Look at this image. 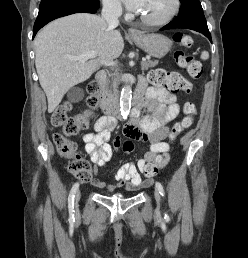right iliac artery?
<instances>
[{"label":"right iliac artery","mask_w":248,"mask_h":258,"mask_svg":"<svg viewBox=\"0 0 248 258\" xmlns=\"http://www.w3.org/2000/svg\"><path fill=\"white\" fill-rule=\"evenodd\" d=\"M79 183H75L70 191L69 197H68V209L70 218H74V197L76 194V191L78 190Z\"/></svg>","instance_id":"right-iliac-artery-1"}]
</instances>
